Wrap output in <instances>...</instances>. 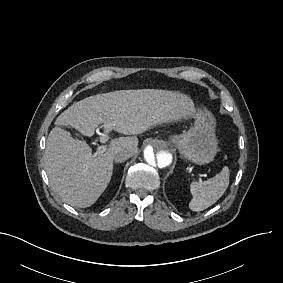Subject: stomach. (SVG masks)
<instances>
[{"label":"stomach","instance_id":"0dacf381","mask_svg":"<svg viewBox=\"0 0 283 283\" xmlns=\"http://www.w3.org/2000/svg\"><path fill=\"white\" fill-rule=\"evenodd\" d=\"M194 119V126L185 133L170 136L169 142L184 158L203 165L213 161L219 150L215 135V118L207 109H198Z\"/></svg>","mask_w":283,"mask_h":283}]
</instances>
